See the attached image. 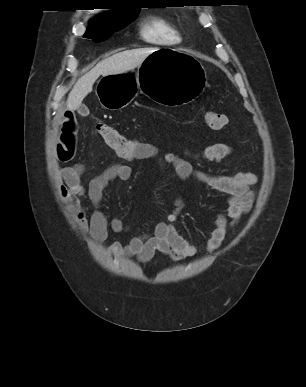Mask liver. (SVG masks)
Masks as SVG:
<instances>
[{
	"mask_svg": "<svg viewBox=\"0 0 306 387\" xmlns=\"http://www.w3.org/2000/svg\"><path fill=\"white\" fill-rule=\"evenodd\" d=\"M156 50L153 48L126 50L100 61L88 73L78 79L68 95L67 109L74 111L81 106L83 99L92 91L93 84L100 75L122 74L139 67Z\"/></svg>",
	"mask_w": 306,
	"mask_h": 387,
	"instance_id": "liver-1",
	"label": "liver"
}]
</instances>
